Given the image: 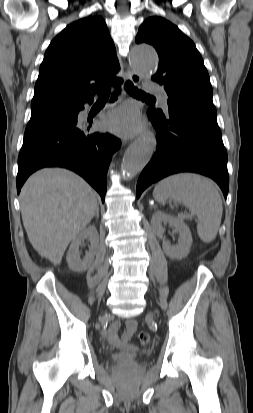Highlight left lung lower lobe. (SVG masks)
Here are the masks:
<instances>
[{
	"instance_id": "left-lung-lower-lobe-1",
	"label": "left lung lower lobe",
	"mask_w": 253,
	"mask_h": 413,
	"mask_svg": "<svg viewBox=\"0 0 253 413\" xmlns=\"http://www.w3.org/2000/svg\"><path fill=\"white\" fill-rule=\"evenodd\" d=\"M147 113L157 131V150L138 179L137 197L168 175L195 172L215 180L227 198V151L217 115L186 106L169 108L167 116L151 109Z\"/></svg>"
}]
</instances>
